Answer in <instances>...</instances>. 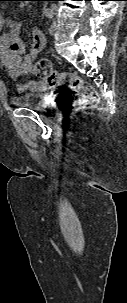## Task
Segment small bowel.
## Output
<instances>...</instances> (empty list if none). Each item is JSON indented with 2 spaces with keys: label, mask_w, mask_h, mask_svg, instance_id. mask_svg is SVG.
Segmentation results:
<instances>
[{
  "label": "small bowel",
  "mask_w": 127,
  "mask_h": 303,
  "mask_svg": "<svg viewBox=\"0 0 127 303\" xmlns=\"http://www.w3.org/2000/svg\"><path fill=\"white\" fill-rule=\"evenodd\" d=\"M21 22L6 19L0 12V67L13 80L28 74H36L34 60L42 52L46 38L43 32L35 28L32 31V42L23 43L19 37ZM4 28L6 30L4 31ZM47 86L43 78L28 80L17 85L19 92L39 91Z\"/></svg>",
  "instance_id": "c3829d8e"
}]
</instances>
